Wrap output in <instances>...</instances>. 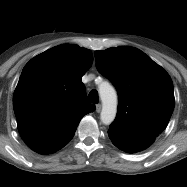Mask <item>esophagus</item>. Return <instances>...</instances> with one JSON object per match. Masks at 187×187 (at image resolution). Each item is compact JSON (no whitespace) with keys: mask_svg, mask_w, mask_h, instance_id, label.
Returning <instances> with one entry per match:
<instances>
[{"mask_svg":"<svg viewBox=\"0 0 187 187\" xmlns=\"http://www.w3.org/2000/svg\"><path fill=\"white\" fill-rule=\"evenodd\" d=\"M101 109H102L101 104L96 105V112L99 113L101 111Z\"/></svg>","mask_w":187,"mask_h":187,"instance_id":"1","label":"esophagus"}]
</instances>
